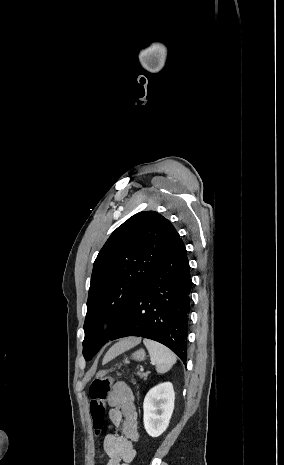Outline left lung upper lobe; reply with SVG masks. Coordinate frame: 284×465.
<instances>
[{
    "instance_id": "1",
    "label": "left lung upper lobe",
    "mask_w": 284,
    "mask_h": 465,
    "mask_svg": "<svg viewBox=\"0 0 284 465\" xmlns=\"http://www.w3.org/2000/svg\"><path fill=\"white\" fill-rule=\"evenodd\" d=\"M179 239L157 212H139L120 225L93 266L84 323L83 355L88 361L110 339L131 301ZM109 322L101 333L99 326Z\"/></svg>"
}]
</instances>
